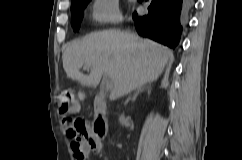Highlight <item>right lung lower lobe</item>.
I'll use <instances>...</instances> for the list:
<instances>
[{
	"label": "right lung lower lobe",
	"instance_id": "obj_1",
	"mask_svg": "<svg viewBox=\"0 0 242 160\" xmlns=\"http://www.w3.org/2000/svg\"><path fill=\"white\" fill-rule=\"evenodd\" d=\"M142 1V0H139ZM150 1L149 13L133 14L135 28L140 35L175 48L179 42L186 14L194 0H146Z\"/></svg>",
	"mask_w": 242,
	"mask_h": 160
}]
</instances>
